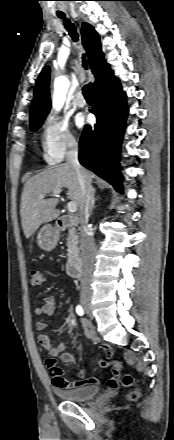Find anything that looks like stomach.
Here are the masks:
<instances>
[{
	"mask_svg": "<svg viewBox=\"0 0 174 440\" xmlns=\"http://www.w3.org/2000/svg\"><path fill=\"white\" fill-rule=\"evenodd\" d=\"M60 239V232L51 225H44L37 234V245L44 251L53 250Z\"/></svg>",
	"mask_w": 174,
	"mask_h": 440,
	"instance_id": "0dacf381",
	"label": "stomach"
}]
</instances>
